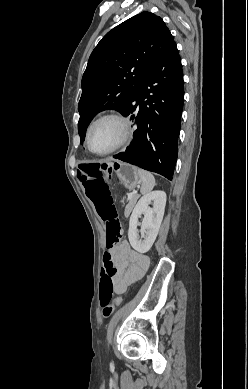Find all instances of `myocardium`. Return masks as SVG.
I'll list each match as a JSON object with an SVG mask.
<instances>
[{
  "mask_svg": "<svg viewBox=\"0 0 248 389\" xmlns=\"http://www.w3.org/2000/svg\"><path fill=\"white\" fill-rule=\"evenodd\" d=\"M104 120L116 121L121 127V136H120L119 140L110 148H108L104 151H95L91 148V144H90L91 133H92L93 128L98 123H100L101 121H104ZM131 136H132V126H131L129 119L118 112H107V113L99 115L89 124L87 131H86L85 142H86V146H87L88 150L91 153L98 155V156H106V155H109V154L119 150L120 148L124 147L130 141Z\"/></svg>",
  "mask_w": 248,
  "mask_h": 389,
  "instance_id": "obj_1",
  "label": "myocardium"
}]
</instances>
